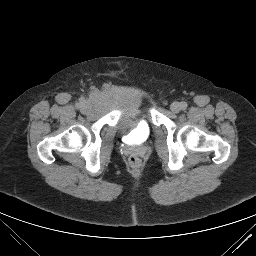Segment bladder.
<instances>
[{
    "mask_svg": "<svg viewBox=\"0 0 256 256\" xmlns=\"http://www.w3.org/2000/svg\"><path fill=\"white\" fill-rule=\"evenodd\" d=\"M98 101L119 111L116 127L119 131L133 135V142L142 143L151 134L150 124L140 117L141 98L131 92H104Z\"/></svg>",
    "mask_w": 256,
    "mask_h": 256,
    "instance_id": "31cf9c89",
    "label": "bladder"
}]
</instances>
